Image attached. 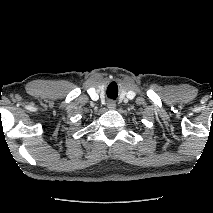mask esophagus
Returning a JSON list of instances; mask_svg holds the SVG:
<instances>
[{"mask_svg": "<svg viewBox=\"0 0 213 213\" xmlns=\"http://www.w3.org/2000/svg\"><path fill=\"white\" fill-rule=\"evenodd\" d=\"M108 109H115L116 108V103L113 100L108 101L107 103Z\"/></svg>", "mask_w": 213, "mask_h": 213, "instance_id": "esophagus-1", "label": "esophagus"}]
</instances>
